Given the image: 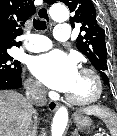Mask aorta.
<instances>
[{
    "label": "aorta",
    "instance_id": "aorta-1",
    "mask_svg": "<svg viewBox=\"0 0 117 136\" xmlns=\"http://www.w3.org/2000/svg\"><path fill=\"white\" fill-rule=\"evenodd\" d=\"M50 16L56 22H65L69 19V11L65 5L55 4L50 8ZM67 122L68 110L62 106L53 117L51 136H63Z\"/></svg>",
    "mask_w": 117,
    "mask_h": 136
}]
</instances>
